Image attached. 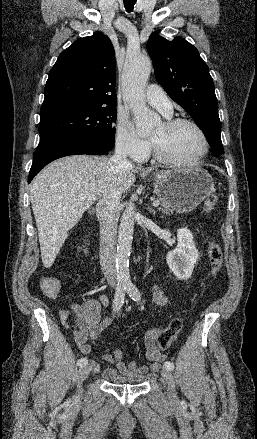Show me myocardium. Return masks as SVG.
<instances>
[{
    "instance_id": "f54148a6",
    "label": "myocardium",
    "mask_w": 257,
    "mask_h": 439,
    "mask_svg": "<svg viewBox=\"0 0 257 439\" xmlns=\"http://www.w3.org/2000/svg\"><path fill=\"white\" fill-rule=\"evenodd\" d=\"M163 125L168 129H173L181 125H189L193 127L196 130V132L199 134L203 146L201 152L195 158L188 161L176 160L174 158L169 157L165 153V151L162 150L158 142L155 139L151 138L150 139L151 144L157 159L166 163L173 164L175 166L185 167V168L194 167L204 159V157L207 155L209 151V142L205 132L196 122L186 118H175V119L166 120L163 123Z\"/></svg>"
}]
</instances>
